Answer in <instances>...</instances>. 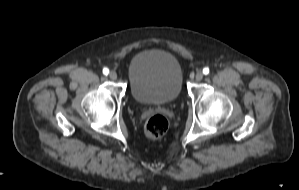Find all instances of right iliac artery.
I'll use <instances>...</instances> for the list:
<instances>
[{
	"label": "right iliac artery",
	"mask_w": 299,
	"mask_h": 190,
	"mask_svg": "<svg viewBox=\"0 0 299 190\" xmlns=\"http://www.w3.org/2000/svg\"><path fill=\"white\" fill-rule=\"evenodd\" d=\"M103 74L104 75H108L109 74V69L108 68H104L103 69Z\"/></svg>",
	"instance_id": "obj_1"
}]
</instances>
